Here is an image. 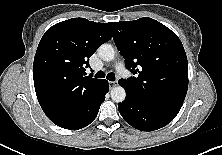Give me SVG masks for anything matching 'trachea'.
<instances>
[{
  "label": "trachea",
  "mask_w": 222,
  "mask_h": 155,
  "mask_svg": "<svg viewBox=\"0 0 222 155\" xmlns=\"http://www.w3.org/2000/svg\"><path fill=\"white\" fill-rule=\"evenodd\" d=\"M95 77L96 78H105V73L103 71H98L95 74ZM106 78L110 81H114L116 77H115L114 73H109V74H107Z\"/></svg>",
  "instance_id": "trachea-1"
}]
</instances>
